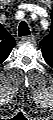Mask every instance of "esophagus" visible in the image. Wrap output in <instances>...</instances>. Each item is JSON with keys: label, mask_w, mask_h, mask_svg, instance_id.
<instances>
[{"label": "esophagus", "mask_w": 53, "mask_h": 120, "mask_svg": "<svg viewBox=\"0 0 53 120\" xmlns=\"http://www.w3.org/2000/svg\"><path fill=\"white\" fill-rule=\"evenodd\" d=\"M22 41H35V36L31 35V36H24L21 39Z\"/></svg>", "instance_id": "1"}]
</instances>
